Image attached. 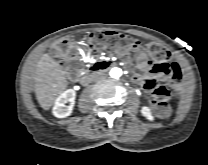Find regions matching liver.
Returning a JSON list of instances; mask_svg holds the SVG:
<instances>
[{"label": "liver", "mask_w": 208, "mask_h": 165, "mask_svg": "<svg viewBox=\"0 0 208 165\" xmlns=\"http://www.w3.org/2000/svg\"><path fill=\"white\" fill-rule=\"evenodd\" d=\"M68 81L59 62L43 54L34 73V88L38 103L49 110L57 96L67 87Z\"/></svg>", "instance_id": "obj_1"}]
</instances>
